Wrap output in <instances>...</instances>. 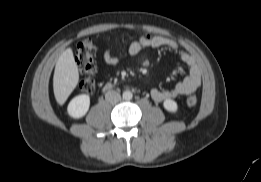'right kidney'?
Returning a JSON list of instances; mask_svg holds the SVG:
<instances>
[{
    "label": "right kidney",
    "instance_id": "right-kidney-1",
    "mask_svg": "<svg viewBox=\"0 0 261 182\" xmlns=\"http://www.w3.org/2000/svg\"><path fill=\"white\" fill-rule=\"evenodd\" d=\"M90 106L89 95L82 94L74 97L67 107V112L70 117L78 119L88 112Z\"/></svg>",
    "mask_w": 261,
    "mask_h": 182
}]
</instances>
